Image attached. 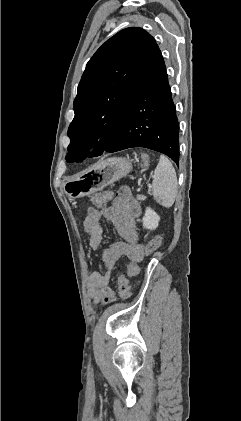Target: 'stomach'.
Listing matches in <instances>:
<instances>
[{
	"mask_svg": "<svg viewBox=\"0 0 241 421\" xmlns=\"http://www.w3.org/2000/svg\"><path fill=\"white\" fill-rule=\"evenodd\" d=\"M131 170L129 159L113 157L101 160L82 174L67 179L63 190L71 199L81 198L119 180Z\"/></svg>",
	"mask_w": 241,
	"mask_h": 421,
	"instance_id": "stomach-1",
	"label": "stomach"
}]
</instances>
